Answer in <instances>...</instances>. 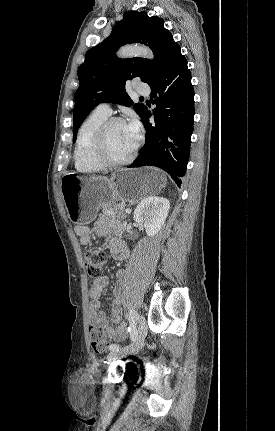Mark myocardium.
Returning a JSON list of instances; mask_svg holds the SVG:
<instances>
[{
	"mask_svg": "<svg viewBox=\"0 0 275 431\" xmlns=\"http://www.w3.org/2000/svg\"><path fill=\"white\" fill-rule=\"evenodd\" d=\"M125 123L120 117H111L102 123L98 128L92 144V153L95 160L104 168H118L130 164L136 157L137 145L133 148L131 154L123 160H114L107 153V136L110 129L116 125Z\"/></svg>",
	"mask_w": 275,
	"mask_h": 431,
	"instance_id": "obj_1",
	"label": "myocardium"
}]
</instances>
